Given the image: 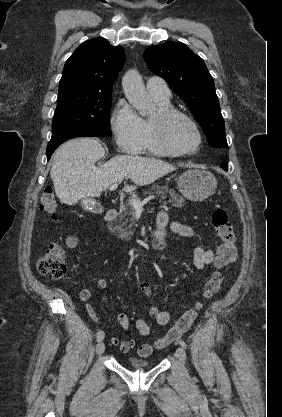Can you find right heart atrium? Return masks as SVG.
<instances>
[{
	"mask_svg": "<svg viewBox=\"0 0 282 417\" xmlns=\"http://www.w3.org/2000/svg\"><path fill=\"white\" fill-rule=\"evenodd\" d=\"M116 144L128 154L140 153L145 146L144 120L127 103L120 101L111 117Z\"/></svg>",
	"mask_w": 282,
	"mask_h": 417,
	"instance_id": "d8ad5b80",
	"label": "right heart atrium"
}]
</instances>
